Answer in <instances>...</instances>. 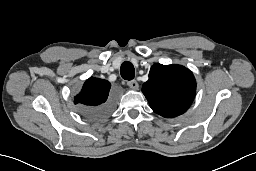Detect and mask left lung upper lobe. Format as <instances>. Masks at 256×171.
Here are the masks:
<instances>
[{"label": "left lung upper lobe", "instance_id": "1", "mask_svg": "<svg viewBox=\"0 0 256 171\" xmlns=\"http://www.w3.org/2000/svg\"><path fill=\"white\" fill-rule=\"evenodd\" d=\"M142 92L155 113L173 118L185 113L192 104L196 80L184 66L154 64Z\"/></svg>", "mask_w": 256, "mask_h": 171}]
</instances>
